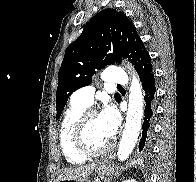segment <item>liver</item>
<instances>
[{
    "label": "liver",
    "mask_w": 196,
    "mask_h": 182,
    "mask_svg": "<svg viewBox=\"0 0 196 182\" xmlns=\"http://www.w3.org/2000/svg\"><path fill=\"white\" fill-rule=\"evenodd\" d=\"M96 164H87L84 166L70 167L64 170L57 178V181L62 179H75V180H86L95 169Z\"/></svg>",
    "instance_id": "1"
}]
</instances>
